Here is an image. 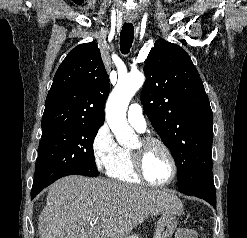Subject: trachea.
Returning a JSON list of instances; mask_svg holds the SVG:
<instances>
[{
  "label": "trachea",
  "instance_id": "3493384b",
  "mask_svg": "<svg viewBox=\"0 0 247 238\" xmlns=\"http://www.w3.org/2000/svg\"><path fill=\"white\" fill-rule=\"evenodd\" d=\"M134 27L132 23H125L120 33V50L123 54H128L133 43Z\"/></svg>",
  "mask_w": 247,
  "mask_h": 238
}]
</instances>
